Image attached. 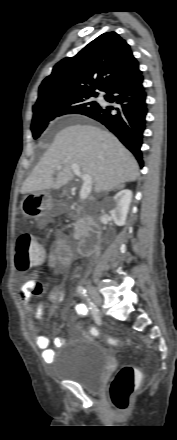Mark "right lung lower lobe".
Wrapping results in <instances>:
<instances>
[{
	"label": "right lung lower lobe",
	"mask_w": 177,
	"mask_h": 440,
	"mask_svg": "<svg viewBox=\"0 0 177 440\" xmlns=\"http://www.w3.org/2000/svg\"><path fill=\"white\" fill-rule=\"evenodd\" d=\"M105 92L106 101L115 106L99 105L84 115L104 124L134 154L140 167H143L141 146L146 127L147 104L139 67Z\"/></svg>",
	"instance_id": "98d812e1"
}]
</instances>
